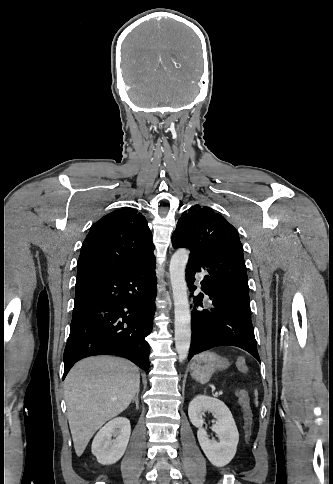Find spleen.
Masks as SVG:
<instances>
[{"mask_svg":"<svg viewBox=\"0 0 333 484\" xmlns=\"http://www.w3.org/2000/svg\"><path fill=\"white\" fill-rule=\"evenodd\" d=\"M254 395H255V404L258 405V400H257V396H258V392L255 390L254 391Z\"/></svg>","mask_w":333,"mask_h":484,"instance_id":"1","label":"spleen"}]
</instances>
